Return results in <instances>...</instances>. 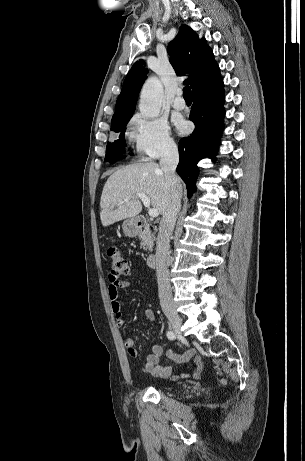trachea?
<instances>
[{
  "label": "trachea",
  "mask_w": 305,
  "mask_h": 461,
  "mask_svg": "<svg viewBox=\"0 0 305 461\" xmlns=\"http://www.w3.org/2000/svg\"><path fill=\"white\" fill-rule=\"evenodd\" d=\"M183 97H184V99H192L193 98L192 91H191L189 86H185L183 88Z\"/></svg>",
  "instance_id": "trachea-1"
}]
</instances>
